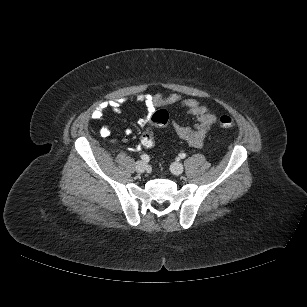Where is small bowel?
<instances>
[{
    "label": "small bowel",
    "instance_id": "small-bowel-1",
    "mask_svg": "<svg viewBox=\"0 0 307 307\" xmlns=\"http://www.w3.org/2000/svg\"><path fill=\"white\" fill-rule=\"evenodd\" d=\"M136 100L143 103L146 107V114L138 120L141 127H145L151 119L152 114L159 107L180 105L186 109L187 113L196 119V125L191 128L184 126L178 122H173V128L177 136L188 143L190 146L200 148L203 146L212 126L216 122V116L209 109L202 105L198 100L192 98H184L182 95L173 93L170 95L157 94H141ZM121 102L110 100L102 102L91 113L92 119L102 121L107 110L114 112L120 111ZM131 129H126V134H131ZM100 135L104 138L109 137L110 128L104 125L100 129Z\"/></svg>",
    "mask_w": 307,
    "mask_h": 307
}]
</instances>
